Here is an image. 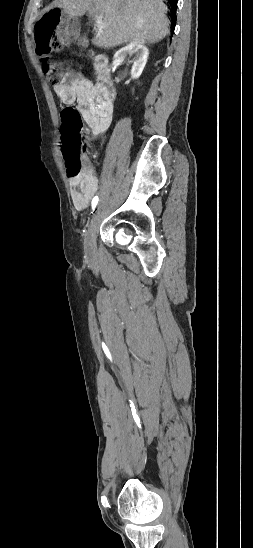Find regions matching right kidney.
Returning <instances> with one entry per match:
<instances>
[{
    "label": "right kidney",
    "instance_id": "obj_1",
    "mask_svg": "<svg viewBox=\"0 0 253 548\" xmlns=\"http://www.w3.org/2000/svg\"><path fill=\"white\" fill-rule=\"evenodd\" d=\"M135 55L134 62L131 70V78L138 79L143 69L147 63L149 51L146 46L137 42H131L125 47L119 49L115 55L114 59L117 62H123L127 57Z\"/></svg>",
    "mask_w": 253,
    "mask_h": 548
}]
</instances>
